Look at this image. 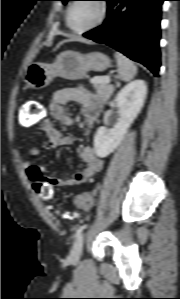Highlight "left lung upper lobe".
Returning a JSON list of instances; mask_svg holds the SVG:
<instances>
[{
    "label": "left lung upper lobe",
    "instance_id": "5c2ea615",
    "mask_svg": "<svg viewBox=\"0 0 180 299\" xmlns=\"http://www.w3.org/2000/svg\"><path fill=\"white\" fill-rule=\"evenodd\" d=\"M60 1H62L64 4H66L67 1H70V0H60Z\"/></svg>",
    "mask_w": 180,
    "mask_h": 299
}]
</instances>
